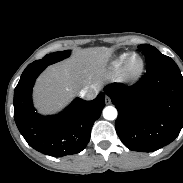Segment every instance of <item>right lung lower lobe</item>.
<instances>
[{"label":"right lung lower lobe","mask_w":183,"mask_h":183,"mask_svg":"<svg viewBox=\"0 0 183 183\" xmlns=\"http://www.w3.org/2000/svg\"><path fill=\"white\" fill-rule=\"evenodd\" d=\"M46 68L27 66L14 91V119L26 140L35 150L54 157L77 154L90 140L91 128L105 106V93L94 100L76 98L57 115L42 116L32 103V88Z\"/></svg>","instance_id":"1"}]
</instances>
